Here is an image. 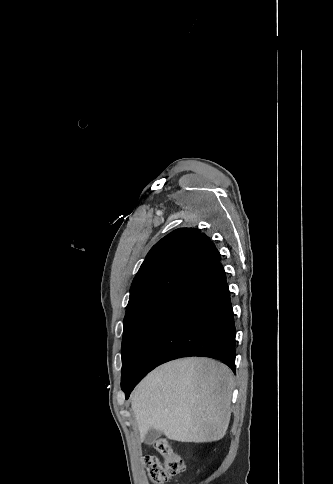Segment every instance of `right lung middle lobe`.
<instances>
[{"mask_svg": "<svg viewBox=\"0 0 333 484\" xmlns=\"http://www.w3.org/2000/svg\"><path fill=\"white\" fill-rule=\"evenodd\" d=\"M169 294H160L126 312L122 339L121 387L124 388L131 375L136 350L147 325L155 311Z\"/></svg>", "mask_w": 333, "mask_h": 484, "instance_id": "1", "label": "right lung middle lobe"}]
</instances>
